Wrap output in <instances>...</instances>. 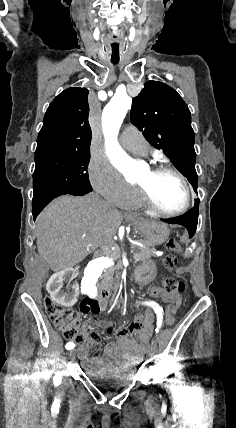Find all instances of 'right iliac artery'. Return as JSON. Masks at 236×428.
Returning <instances> with one entry per match:
<instances>
[{"label": "right iliac artery", "instance_id": "82829eb1", "mask_svg": "<svg viewBox=\"0 0 236 428\" xmlns=\"http://www.w3.org/2000/svg\"><path fill=\"white\" fill-rule=\"evenodd\" d=\"M65 347L67 350H71L75 347V344L73 342H68Z\"/></svg>", "mask_w": 236, "mask_h": 428}]
</instances>
